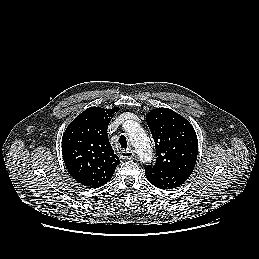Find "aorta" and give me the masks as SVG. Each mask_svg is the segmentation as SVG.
Masks as SVG:
<instances>
[{
    "label": "aorta",
    "mask_w": 259,
    "mask_h": 259,
    "mask_svg": "<svg viewBox=\"0 0 259 259\" xmlns=\"http://www.w3.org/2000/svg\"><path fill=\"white\" fill-rule=\"evenodd\" d=\"M129 140L134 146L142 163H148L152 160V148L149 143V137L139 123L128 121L126 127Z\"/></svg>",
    "instance_id": "obj_1"
}]
</instances>
